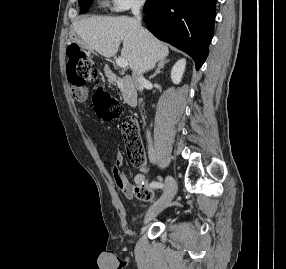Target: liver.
I'll return each instance as SVG.
<instances>
[{"mask_svg": "<svg viewBox=\"0 0 286 269\" xmlns=\"http://www.w3.org/2000/svg\"><path fill=\"white\" fill-rule=\"evenodd\" d=\"M73 28L89 49L107 58L115 56L123 42L121 55L136 75L153 69L169 54L164 43L130 17L93 16L74 22Z\"/></svg>", "mask_w": 286, "mask_h": 269, "instance_id": "obj_1", "label": "liver"}]
</instances>
